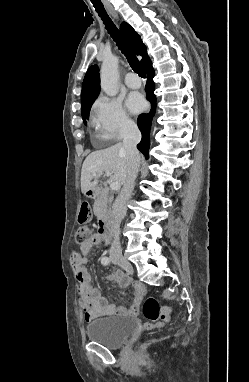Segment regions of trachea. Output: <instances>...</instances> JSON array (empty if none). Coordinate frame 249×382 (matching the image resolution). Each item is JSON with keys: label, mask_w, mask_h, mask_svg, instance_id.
I'll use <instances>...</instances> for the list:
<instances>
[{"label": "trachea", "mask_w": 249, "mask_h": 382, "mask_svg": "<svg viewBox=\"0 0 249 382\" xmlns=\"http://www.w3.org/2000/svg\"><path fill=\"white\" fill-rule=\"evenodd\" d=\"M93 6L98 13V15L103 20V23L105 24V27L110 34V36L113 38V40L116 42L118 48L121 50V52L126 56L131 68L134 72H136L140 77H145L146 74L144 70L142 69L140 62L136 55L132 52L130 49L128 43L124 39V37L121 35L120 31L117 29L115 24L112 22V20L109 18L108 14L106 13V10L102 4V2H93Z\"/></svg>", "instance_id": "obj_1"}]
</instances>
